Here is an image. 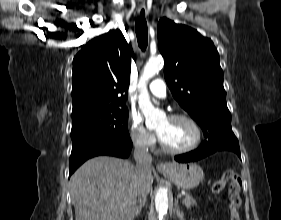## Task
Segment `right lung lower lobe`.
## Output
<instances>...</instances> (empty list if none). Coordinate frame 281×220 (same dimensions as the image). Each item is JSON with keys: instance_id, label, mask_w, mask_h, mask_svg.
Masks as SVG:
<instances>
[{"instance_id": "1", "label": "right lung lower lobe", "mask_w": 281, "mask_h": 220, "mask_svg": "<svg viewBox=\"0 0 281 220\" xmlns=\"http://www.w3.org/2000/svg\"><path fill=\"white\" fill-rule=\"evenodd\" d=\"M132 149L130 141L110 142H88L72 147L70 156L69 175H71L87 159L99 156L110 155L127 158Z\"/></svg>"}]
</instances>
